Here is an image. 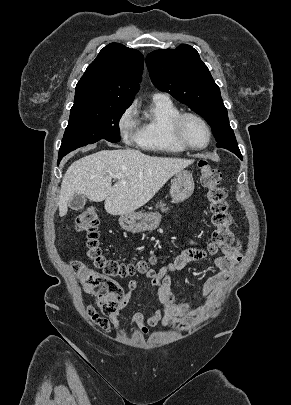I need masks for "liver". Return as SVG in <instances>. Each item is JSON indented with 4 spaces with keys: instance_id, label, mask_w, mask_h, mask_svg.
<instances>
[{
    "instance_id": "6515ba94",
    "label": "liver",
    "mask_w": 291,
    "mask_h": 405,
    "mask_svg": "<svg viewBox=\"0 0 291 405\" xmlns=\"http://www.w3.org/2000/svg\"><path fill=\"white\" fill-rule=\"evenodd\" d=\"M193 160L148 156L138 150H102L75 161L63 176L59 215L67 214L75 195L95 202L105 201L112 215L134 212L145 205L176 173ZM115 174L123 178L112 186Z\"/></svg>"
}]
</instances>
